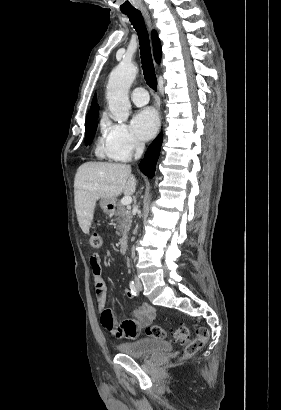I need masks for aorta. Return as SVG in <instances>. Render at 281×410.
Returning <instances> with one entry per match:
<instances>
[{
	"label": "aorta",
	"mask_w": 281,
	"mask_h": 410,
	"mask_svg": "<svg viewBox=\"0 0 281 410\" xmlns=\"http://www.w3.org/2000/svg\"><path fill=\"white\" fill-rule=\"evenodd\" d=\"M136 74L137 67L134 64L121 62L109 76L106 88L108 107L113 119L120 123L129 117L131 104L128 91Z\"/></svg>",
	"instance_id": "aorta-1"
}]
</instances>
